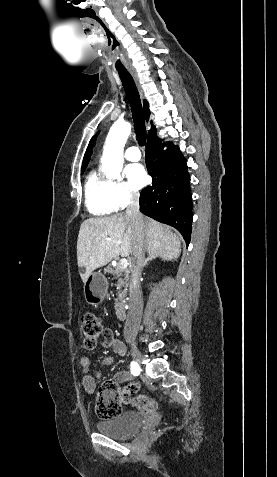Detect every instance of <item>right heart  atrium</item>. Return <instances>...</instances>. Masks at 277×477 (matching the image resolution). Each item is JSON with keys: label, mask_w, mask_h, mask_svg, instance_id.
Instances as JSON below:
<instances>
[{"label": "right heart atrium", "mask_w": 277, "mask_h": 477, "mask_svg": "<svg viewBox=\"0 0 277 477\" xmlns=\"http://www.w3.org/2000/svg\"><path fill=\"white\" fill-rule=\"evenodd\" d=\"M110 198L115 210H121L139 199V192L128 183L110 181Z\"/></svg>", "instance_id": "1"}]
</instances>
